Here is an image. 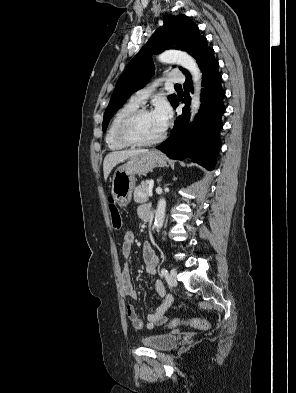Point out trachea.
<instances>
[{"label":"trachea","mask_w":296,"mask_h":393,"mask_svg":"<svg viewBox=\"0 0 296 393\" xmlns=\"http://www.w3.org/2000/svg\"><path fill=\"white\" fill-rule=\"evenodd\" d=\"M175 87H181L179 84H176Z\"/></svg>","instance_id":"3493384b"}]
</instances>
